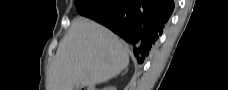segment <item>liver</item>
I'll return each instance as SVG.
<instances>
[{"mask_svg": "<svg viewBox=\"0 0 228 90\" xmlns=\"http://www.w3.org/2000/svg\"><path fill=\"white\" fill-rule=\"evenodd\" d=\"M128 64V50L116 35L94 21L78 17L50 65L47 90L91 87L117 76Z\"/></svg>", "mask_w": 228, "mask_h": 90, "instance_id": "1", "label": "liver"}]
</instances>
